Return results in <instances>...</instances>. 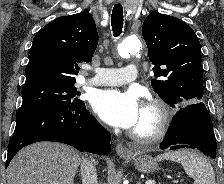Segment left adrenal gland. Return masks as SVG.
<instances>
[{"label": "left adrenal gland", "instance_id": "a2214340", "mask_svg": "<svg viewBox=\"0 0 224 184\" xmlns=\"http://www.w3.org/2000/svg\"><path fill=\"white\" fill-rule=\"evenodd\" d=\"M137 184H141V182H137Z\"/></svg>", "mask_w": 224, "mask_h": 184}]
</instances>
